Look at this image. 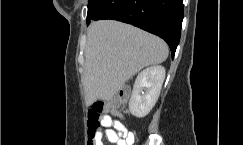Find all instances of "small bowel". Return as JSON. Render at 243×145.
Here are the masks:
<instances>
[{
  "instance_id": "obj_1",
  "label": "small bowel",
  "mask_w": 243,
  "mask_h": 145,
  "mask_svg": "<svg viewBox=\"0 0 243 145\" xmlns=\"http://www.w3.org/2000/svg\"><path fill=\"white\" fill-rule=\"evenodd\" d=\"M101 125L105 132L98 130L94 137V145H104L103 138L106 137L110 143L115 145H134L135 134L125 129L118 120H113L110 116H104Z\"/></svg>"
}]
</instances>
